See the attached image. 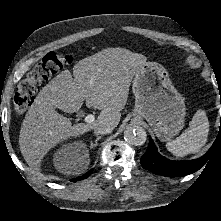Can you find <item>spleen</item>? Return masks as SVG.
Returning a JSON list of instances; mask_svg holds the SVG:
<instances>
[{"instance_id":"obj_1","label":"spleen","mask_w":221,"mask_h":221,"mask_svg":"<svg viewBox=\"0 0 221 221\" xmlns=\"http://www.w3.org/2000/svg\"><path fill=\"white\" fill-rule=\"evenodd\" d=\"M208 133L209 121L206 112L199 109L194 114L190 122V127L176 138V140L168 142L166 148L178 157L197 153L206 144Z\"/></svg>"}]
</instances>
